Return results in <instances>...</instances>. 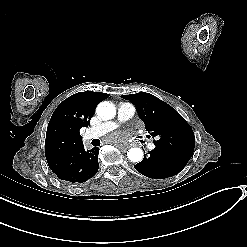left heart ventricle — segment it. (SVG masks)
Wrapping results in <instances>:
<instances>
[{
    "label": "left heart ventricle",
    "instance_id": "obj_1",
    "mask_svg": "<svg viewBox=\"0 0 247 247\" xmlns=\"http://www.w3.org/2000/svg\"><path fill=\"white\" fill-rule=\"evenodd\" d=\"M121 126H122V129L129 130V131L133 130V126L131 124H123Z\"/></svg>",
    "mask_w": 247,
    "mask_h": 247
}]
</instances>
